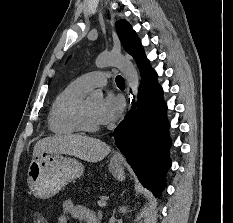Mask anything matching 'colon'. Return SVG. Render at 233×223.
<instances>
[{
    "instance_id": "colon-1",
    "label": "colon",
    "mask_w": 233,
    "mask_h": 223,
    "mask_svg": "<svg viewBox=\"0 0 233 223\" xmlns=\"http://www.w3.org/2000/svg\"><path fill=\"white\" fill-rule=\"evenodd\" d=\"M45 222H46L45 219L42 217H37L34 220V223H45Z\"/></svg>"
}]
</instances>
